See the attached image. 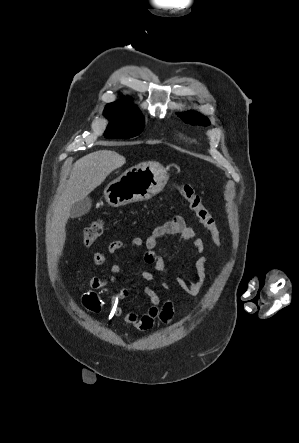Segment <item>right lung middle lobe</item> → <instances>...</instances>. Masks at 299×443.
I'll return each mask as SVG.
<instances>
[{
    "label": "right lung middle lobe",
    "instance_id": "1",
    "mask_svg": "<svg viewBox=\"0 0 299 443\" xmlns=\"http://www.w3.org/2000/svg\"><path fill=\"white\" fill-rule=\"evenodd\" d=\"M104 115L110 119L104 132L105 138H132L139 135L144 128L143 116L137 108L109 104Z\"/></svg>",
    "mask_w": 299,
    "mask_h": 443
}]
</instances>
